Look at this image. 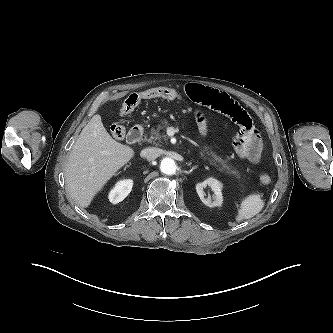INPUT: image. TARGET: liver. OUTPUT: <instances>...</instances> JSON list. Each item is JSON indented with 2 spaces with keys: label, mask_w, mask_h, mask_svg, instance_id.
Instances as JSON below:
<instances>
[{
  "label": "liver",
  "mask_w": 333,
  "mask_h": 333,
  "mask_svg": "<svg viewBox=\"0 0 333 333\" xmlns=\"http://www.w3.org/2000/svg\"><path fill=\"white\" fill-rule=\"evenodd\" d=\"M135 155L134 150L115 141L101 116L94 115L82 129L65 167L67 189L81 207H88L94 196Z\"/></svg>",
  "instance_id": "liver-1"
}]
</instances>
